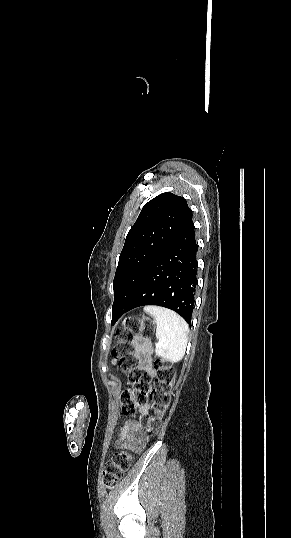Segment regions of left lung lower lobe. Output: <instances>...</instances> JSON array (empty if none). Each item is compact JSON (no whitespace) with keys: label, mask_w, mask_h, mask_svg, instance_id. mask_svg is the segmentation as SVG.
Segmentation results:
<instances>
[{"label":"left lung lower lobe","mask_w":291,"mask_h":538,"mask_svg":"<svg viewBox=\"0 0 291 538\" xmlns=\"http://www.w3.org/2000/svg\"><path fill=\"white\" fill-rule=\"evenodd\" d=\"M193 222L159 255L130 302L112 309V322L127 311L144 305H158L176 311L191 325L197 286V253Z\"/></svg>","instance_id":"0a47b994"}]
</instances>
